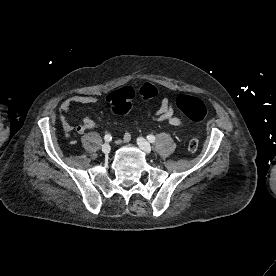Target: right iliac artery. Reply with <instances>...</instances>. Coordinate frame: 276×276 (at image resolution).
<instances>
[{"instance_id":"right-iliac-artery-1","label":"right iliac artery","mask_w":276,"mask_h":276,"mask_svg":"<svg viewBox=\"0 0 276 276\" xmlns=\"http://www.w3.org/2000/svg\"><path fill=\"white\" fill-rule=\"evenodd\" d=\"M104 140L106 142H110L112 140V136L110 134H106L105 137H104Z\"/></svg>"}]
</instances>
